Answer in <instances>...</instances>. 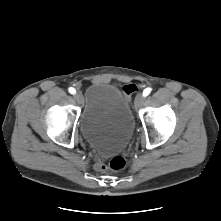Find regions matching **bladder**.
I'll return each instance as SVG.
<instances>
[{
    "label": "bladder",
    "mask_w": 221,
    "mask_h": 221,
    "mask_svg": "<svg viewBox=\"0 0 221 221\" xmlns=\"http://www.w3.org/2000/svg\"><path fill=\"white\" fill-rule=\"evenodd\" d=\"M82 103L79 129L85 141L102 155L122 152L131 141L135 121L121 90L109 83H92Z\"/></svg>",
    "instance_id": "bladder-1"
}]
</instances>
